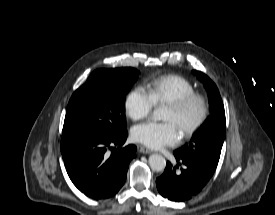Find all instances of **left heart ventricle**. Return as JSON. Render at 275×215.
<instances>
[{
	"label": "left heart ventricle",
	"instance_id": "left-heart-ventricle-1",
	"mask_svg": "<svg viewBox=\"0 0 275 215\" xmlns=\"http://www.w3.org/2000/svg\"><path fill=\"white\" fill-rule=\"evenodd\" d=\"M201 107L198 102L192 103L184 111L178 112L172 108L165 106L163 119L173 122L178 130L182 132L186 127L191 125L200 115Z\"/></svg>",
	"mask_w": 275,
	"mask_h": 215
}]
</instances>
